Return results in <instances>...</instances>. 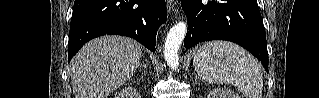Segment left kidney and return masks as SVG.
<instances>
[{"mask_svg": "<svg viewBox=\"0 0 319 98\" xmlns=\"http://www.w3.org/2000/svg\"><path fill=\"white\" fill-rule=\"evenodd\" d=\"M208 98H240L239 94L232 90H223L221 88H214L208 94Z\"/></svg>", "mask_w": 319, "mask_h": 98, "instance_id": "1", "label": "left kidney"}]
</instances>
